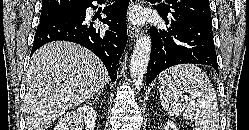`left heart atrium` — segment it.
Returning <instances> with one entry per match:
<instances>
[{
    "label": "left heart atrium",
    "mask_w": 249,
    "mask_h": 130,
    "mask_svg": "<svg viewBox=\"0 0 249 130\" xmlns=\"http://www.w3.org/2000/svg\"><path fill=\"white\" fill-rule=\"evenodd\" d=\"M131 19L135 22V23H141L143 21V15L140 11H135L132 15H131Z\"/></svg>",
    "instance_id": "left-heart-atrium-1"
}]
</instances>
